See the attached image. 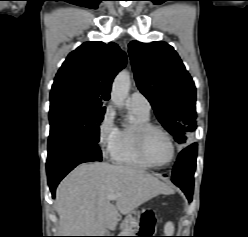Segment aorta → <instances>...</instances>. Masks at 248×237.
<instances>
[{"label": "aorta", "mask_w": 248, "mask_h": 237, "mask_svg": "<svg viewBox=\"0 0 248 237\" xmlns=\"http://www.w3.org/2000/svg\"><path fill=\"white\" fill-rule=\"evenodd\" d=\"M130 85L131 79L129 72L122 70L115 77L111 90V100L116 107L121 108L124 106Z\"/></svg>", "instance_id": "obj_1"}]
</instances>
